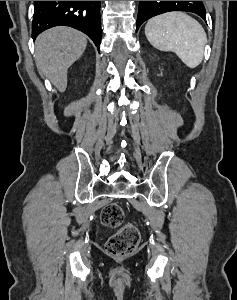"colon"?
I'll return each instance as SVG.
<instances>
[{"label":"colon","mask_w":237,"mask_h":300,"mask_svg":"<svg viewBox=\"0 0 237 300\" xmlns=\"http://www.w3.org/2000/svg\"><path fill=\"white\" fill-rule=\"evenodd\" d=\"M100 218L104 226L117 229L105 244L106 252L118 258L131 255L139 244L140 233L134 224H123L122 207L115 202L109 203L102 209Z\"/></svg>","instance_id":"5ec220e1"}]
</instances>
